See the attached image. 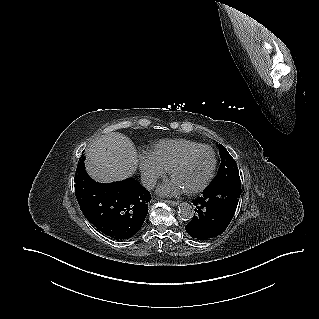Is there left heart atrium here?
I'll return each instance as SVG.
<instances>
[{"mask_svg": "<svg viewBox=\"0 0 319 319\" xmlns=\"http://www.w3.org/2000/svg\"><path fill=\"white\" fill-rule=\"evenodd\" d=\"M183 190L184 189L174 180L160 188V192L164 195H176L181 193Z\"/></svg>", "mask_w": 319, "mask_h": 319, "instance_id": "obj_1", "label": "left heart atrium"}]
</instances>
